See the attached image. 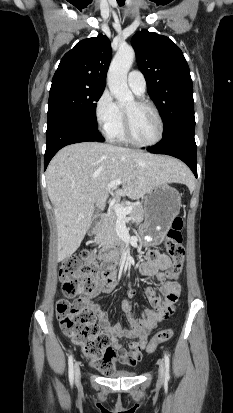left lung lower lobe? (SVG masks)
Listing matches in <instances>:
<instances>
[{
  "label": "left lung lower lobe",
  "instance_id": "1",
  "mask_svg": "<svg viewBox=\"0 0 233 413\" xmlns=\"http://www.w3.org/2000/svg\"><path fill=\"white\" fill-rule=\"evenodd\" d=\"M193 126H178L156 145L147 149L151 153L166 154L185 162L197 177V147Z\"/></svg>",
  "mask_w": 233,
  "mask_h": 413
}]
</instances>
